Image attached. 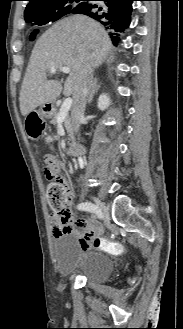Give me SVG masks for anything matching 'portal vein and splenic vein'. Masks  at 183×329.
Instances as JSON below:
<instances>
[{"label":"portal vein and splenic vein","instance_id":"obj_1","mask_svg":"<svg viewBox=\"0 0 183 329\" xmlns=\"http://www.w3.org/2000/svg\"><path fill=\"white\" fill-rule=\"evenodd\" d=\"M60 71L65 72V73H69L71 71V69L69 67H60L59 68ZM57 71L56 68H51L50 72L51 73H55ZM72 105V98L68 97L67 99H65V101L62 103L59 114H58V118H57V122H62L65 117L67 116L70 108Z\"/></svg>","mask_w":183,"mask_h":329}]
</instances>
